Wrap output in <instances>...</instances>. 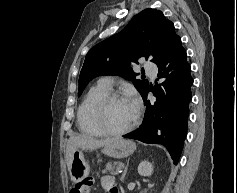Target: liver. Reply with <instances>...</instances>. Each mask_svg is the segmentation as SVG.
I'll return each instance as SVG.
<instances>
[{
    "mask_svg": "<svg viewBox=\"0 0 237 193\" xmlns=\"http://www.w3.org/2000/svg\"><path fill=\"white\" fill-rule=\"evenodd\" d=\"M113 140H115V138L97 140L86 135L70 136L66 146V161L69 172H70L72 153L74 150L76 149L94 150L109 144Z\"/></svg>",
    "mask_w": 237,
    "mask_h": 193,
    "instance_id": "liver-1",
    "label": "liver"
}]
</instances>
